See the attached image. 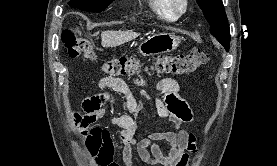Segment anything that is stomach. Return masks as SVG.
<instances>
[{
    "instance_id": "obj_1",
    "label": "stomach",
    "mask_w": 277,
    "mask_h": 166,
    "mask_svg": "<svg viewBox=\"0 0 277 166\" xmlns=\"http://www.w3.org/2000/svg\"><path fill=\"white\" fill-rule=\"evenodd\" d=\"M179 38L174 34L161 32L149 36L139 45V52L143 56H153L175 50L179 45Z\"/></svg>"
}]
</instances>
